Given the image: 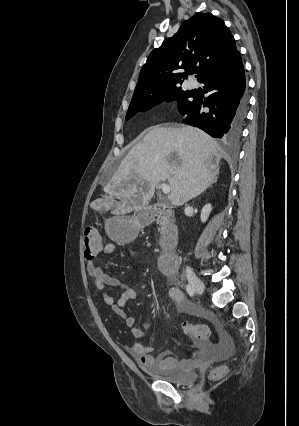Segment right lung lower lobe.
<instances>
[{
    "label": "right lung lower lobe",
    "instance_id": "obj_1",
    "mask_svg": "<svg viewBox=\"0 0 299 426\" xmlns=\"http://www.w3.org/2000/svg\"><path fill=\"white\" fill-rule=\"evenodd\" d=\"M209 96L202 101L193 96L180 111L184 122L199 127L215 138L234 139L246 115L245 74L239 52L224 67L207 74L201 81Z\"/></svg>",
    "mask_w": 299,
    "mask_h": 426
}]
</instances>
